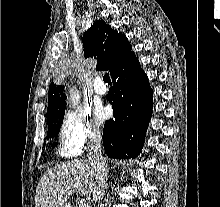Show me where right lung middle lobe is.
Segmentation results:
<instances>
[{"mask_svg":"<svg viewBox=\"0 0 220 207\" xmlns=\"http://www.w3.org/2000/svg\"><path fill=\"white\" fill-rule=\"evenodd\" d=\"M65 105L66 104H64L56 114H54L52 117L47 119V123H48L47 139H49V137H55L58 135L64 117Z\"/></svg>","mask_w":220,"mask_h":207,"instance_id":"obj_1","label":"right lung middle lobe"}]
</instances>
